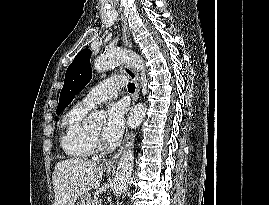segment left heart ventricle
I'll list each match as a JSON object with an SVG mask.
<instances>
[{
    "instance_id": "obj_1",
    "label": "left heart ventricle",
    "mask_w": 269,
    "mask_h": 205,
    "mask_svg": "<svg viewBox=\"0 0 269 205\" xmlns=\"http://www.w3.org/2000/svg\"><path fill=\"white\" fill-rule=\"evenodd\" d=\"M92 134L101 137L102 135V126H99L93 130L90 131Z\"/></svg>"
}]
</instances>
